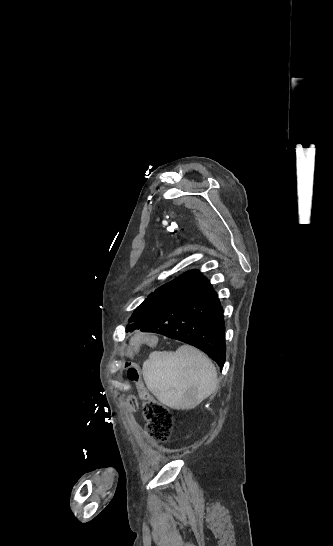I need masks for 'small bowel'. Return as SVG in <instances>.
Masks as SVG:
<instances>
[{
  "instance_id": "small-bowel-1",
  "label": "small bowel",
  "mask_w": 333,
  "mask_h": 546,
  "mask_svg": "<svg viewBox=\"0 0 333 546\" xmlns=\"http://www.w3.org/2000/svg\"><path fill=\"white\" fill-rule=\"evenodd\" d=\"M133 342H134V348H146V349H150V348H156L158 346V341L156 340V334L153 332V331H139L136 333L134 339H133ZM134 358L135 359H140L141 358V353L138 352V350H135V353H134ZM134 408V412L136 413L138 410L136 409V405L134 404L132 406Z\"/></svg>"
}]
</instances>
